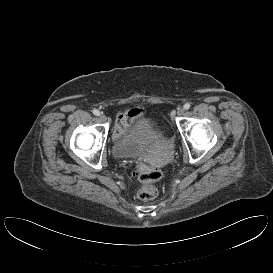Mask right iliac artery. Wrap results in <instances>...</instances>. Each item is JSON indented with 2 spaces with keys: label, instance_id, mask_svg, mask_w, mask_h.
<instances>
[{
  "label": "right iliac artery",
  "instance_id": "obj_1",
  "mask_svg": "<svg viewBox=\"0 0 273 273\" xmlns=\"http://www.w3.org/2000/svg\"><path fill=\"white\" fill-rule=\"evenodd\" d=\"M93 114L96 115V116H99V115H100V112H99L97 109H94V110H93Z\"/></svg>",
  "mask_w": 273,
  "mask_h": 273
}]
</instances>
